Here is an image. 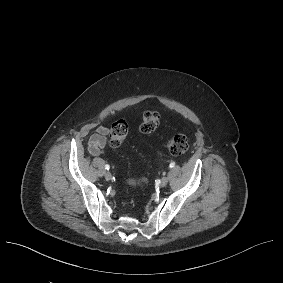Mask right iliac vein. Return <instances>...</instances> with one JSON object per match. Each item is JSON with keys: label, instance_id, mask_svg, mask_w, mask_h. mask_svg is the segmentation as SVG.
I'll return each mask as SVG.
<instances>
[{"label": "right iliac vein", "instance_id": "1", "mask_svg": "<svg viewBox=\"0 0 283 283\" xmlns=\"http://www.w3.org/2000/svg\"><path fill=\"white\" fill-rule=\"evenodd\" d=\"M104 177H105L106 180H111L112 174L109 171H107V172H105Z\"/></svg>", "mask_w": 283, "mask_h": 283}]
</instances>
